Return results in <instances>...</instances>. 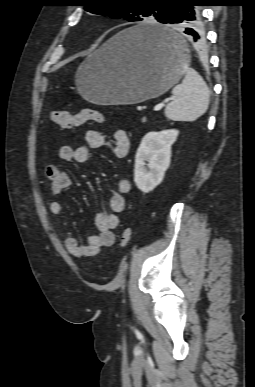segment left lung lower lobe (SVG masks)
<instances>
[{
  "instance_id": "obj_1",
  "label": "left lung lower lobe",
  "mask_w": 255,
  "mask_h": 387,
  "mask_svg": "<svg viewBox=\"0 0 255 387\" xmlns=\"http://www.w3.org/2000/svg\"><path fill=\"white\" fill-rule=\"evenodd\" d=\"M204 5L206 4L202 0L175 2L171 5L169 15L164 24H181L184 26V33L190 35L193 41L202 48L205 45V38L200 29L201 15L197 6ZM141 35L163 46L172 47L174 45L171 36L162 30H145L141 32Z\"/></svg>"
}]
</instances>
